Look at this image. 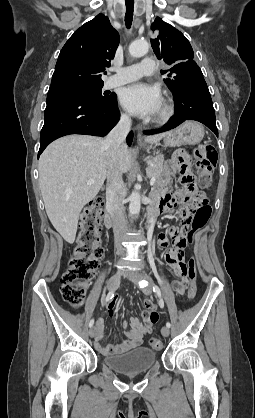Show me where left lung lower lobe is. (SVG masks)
<instances>
[{"instance_id":"obj_1","label":"left lung lower lobe","mask_w":255,"mask_h":418,"mask_svg":"<svg viewBox=\"0 0 255 418\" xmlns=\"http://www.w3.org/2000/svg\"><path fill=\"white\" fill-rule=\"evenodd\" d=\"M175 114L168 123L159 129L144 131L152 135L173 129L186 120H196L205 124L218 137L215 111L209 89L203 77L193 79L175 91Z\"/></svg>"}]
</instances>
